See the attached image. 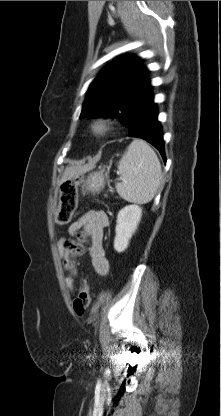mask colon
<instances>
[{
  "label": "colon",
  "mask_w": 221,
  "mask_h": 416,
  "mask_svg": "<svg viewBox=\"0 0 221 416\" xmlns=\"http://www.w3.org/2000/svg\"><path fill=\"white\" fill-rule=\"evenodd\" d=\"M79 179L66 181L61 188L60 202L55 214V223L58 225L68 224L77 208V186ZM65 247L69 250L67 265L75 273V260L82 254V246L75 239H68ZM90 304L89 287L86 282H82L79 292L73 301V309L78 316H82Z\"/></svg>",
  "instance_id": "colon-1"
}]
</instances>
